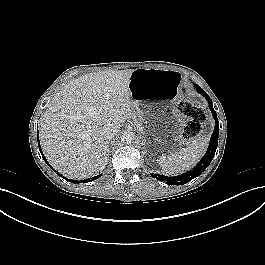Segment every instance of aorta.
I'll use <instances>...</instances> for the list:
<instances>
[{"label":"aorta","mask_w":265,"mask_h":265,"mask_svg":"<svg viewBox=\"0 0 265 265\" xmlns=\"http://www.w3.org/2000/svg\"><path fill=\"white\" fill-rule=\"evenodd\" d=\"M135 135L131 131H125L121 135V142L124 144H131L134 141Z\"/></svg>","instance_id":"762f6f07"}]
</instances>
